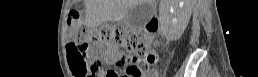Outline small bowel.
<instances>
[{
    "label": "small bowel",
    "instance_id": "small-bowel-1",
    "mask_svg": "<svg viewBox=\"0 0 258 77\" xmlns=\"http://www.w3.org/2000/svg\"><path fill=\"white\" fill-rule=\"evenodd\" d=\"M92 57H93V55H91V58ZM123 57H124L123 54L111 49L107 55L106 61L108 64H118L120 61L123 60ZM107 75H108L107 77H115L114 72L107 73Z\"/></svg>",
    "mask_w": 258,
    "mask_h": 77
}]
</instances>
